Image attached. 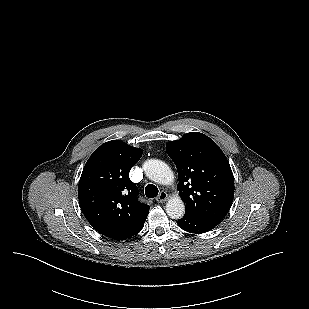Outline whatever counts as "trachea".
I'll use <instances>...</instances> for the list:
<instances>
[{
    "mask_svg": "<svg viewBox=\"0 0 309 309\" xmlns=\"http://www.w3.org/2000/svg\"><path fill=\"white\" fill-rule=\"evenodd\" d=\"M158 188L153 184H148L145 188V195L148 198H155L158 195Z\"/></svg>",
    "mask_w": 309,
    "mask_h": 309,
    "instance_id": "3493384b",
    "label": "trachea"
}]
</instances>
